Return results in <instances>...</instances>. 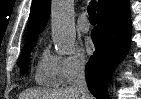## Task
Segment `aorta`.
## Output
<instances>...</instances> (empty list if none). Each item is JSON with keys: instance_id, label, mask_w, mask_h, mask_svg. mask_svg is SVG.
<instances>
[{"instance_id": "762f6f07", "label": "aorta", "mask_w": 141, "mask_h": 99, "mask_svg": "<svg viewBox=\"0 0 141 99\" xmlns=\"http://www.w3.org/2000/svg\"><path fill=\"white\" fill-rule=\"evenodd\" d=\"M52 39L57 52L71 54L75 46L73 0H53L51 3Z\"/></svg>"}]
</instances>
